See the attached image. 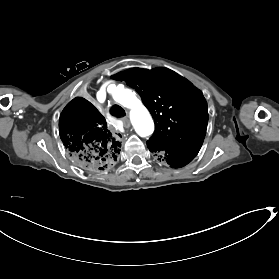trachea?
Instances as JSON below:
<instances>
[{
    "label": "trachea",
    "instance_id": "1",
    "mask_svg": "<svg viewBox=\"0 0 279 279\" xmlns=\"http://www.w3.org/2000/svg\"><path fill=\"white\" fill-rule=\"evenodd\" d=\"M111 114L113 116H116V117H120V116H125L126 115L125 110L121 106H119L117 104H115V105H113L111 107Z\"/></svg>",
    "mask_w": 279,
    "mask_h": 279
}]
</instances>
